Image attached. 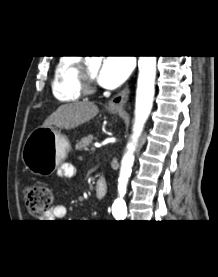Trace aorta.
<instances>
[{"instance_id":"obj_1","label":"aorta","mask_w":218,"mask_h":277,"mask_svg":"<svg viewBox=\"0 0 218 277\" xmlns=\"http://www.w3.org/2000/svg\"><path fill=\"white\" fill-rule=\"evenodd\" d=\"M139 74L137 80L135 119L131 142L123 156L118 179L119 197L114 201L112 214L116 219H124L127 215L126 203L123 199L126 193L128 179L134 163V151L145 122L151 112L155 93L156 56H140L138 60Z\"/></svg>"}]
</instances>
